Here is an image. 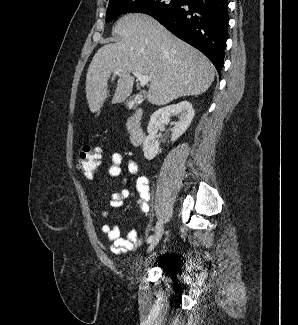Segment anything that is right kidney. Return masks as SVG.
Listing matches in <instances>:
<instances>
[{
    "label": "right kidney",
    "mask_w": 298,
    "mask_h": 325,
    "mask_svg": "<svg viewBox=\"0 0 298 325\" xmlns=\"http://www.w3.org/2000/svg\"><path fill=\"white\" fill-rule=\"evenodd\" d=\"M171 116H178L179 120H173ZM194 118V108L191 102L188 100H181L177 104H168V106H163V108H158L150 116V120L147 126L148 136H146L142 146L145 158L151 160L156 154L161 152V148L158 142V130L161 124H174L172 126L171 140H177L188 126H190Z\"/></svg>",
    "instance_id": "right-kidney-1"
}]
</instances>
